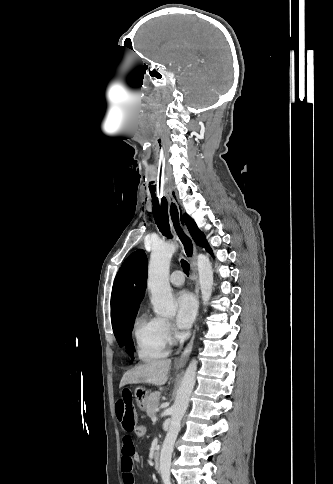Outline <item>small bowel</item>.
<instances>
[{
    "label": "small bowel",
    "mask_w": 333,
    "mask_h": 484,
    "mask_svg": "<svg viewBox=\"0 0 333 484\" xmlns=\"http://www.w3.org/2000/svg\"><path fill=\"white\" fill-rule=\"evenodd\" d=\"M116 419L125 431L122 438L121 471L124 484H134L133 465L139 461L136 453L133 436L138 423L137 410L134 404L133 392L130 388L122 389L115 403Z\"/></svg>",
    "instance_id": "small-bowel-1"
}]
</instances>
